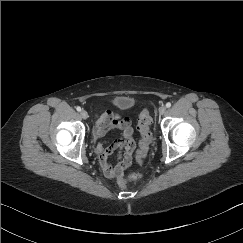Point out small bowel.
<instances>
[{"instance_id":"c3829d8e","label":"small bowel","mask_w":243,"mask_h":243,"mask_svg":"<svg viewBox=\"0 0 243 243\" xmlns=\"http://www.w3.org/2000/svg\"><path fill=\"white\" fill-rule=\"evenodd\" d=\"M110 129L119 130L122 138L112 142L109 147H105L101 140ZM93 141L96 144L95 153L98 156L99 165L104 176L111 180H118L124 175L126 168L131 164L135 148L130 119L122 117L119 113L112 110L104 111L97 116L93 127ZM116 148L123 149V155L118 157L115 164H112L110 157L112 151Z\"/></svg>"}]
</instances>
